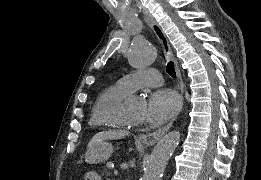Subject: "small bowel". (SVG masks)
<instances>
[{
	"mask_svg": "<svg viewBox=\"0 0 261 180\" xmlns=\"http://www.w3.org/2000/svg\"><path fill=\"white\" fill-rule=\"evenodd\" d=\"M85 179L86 180H99V175L95 171H88L85 174Z\"/></svg>",
	"mask_w": 261,
	"mask_h": 180,
	"instance_id": "small-bowel-1",
	"label": "small bowel"
}]
</instances>
